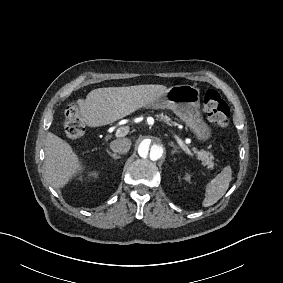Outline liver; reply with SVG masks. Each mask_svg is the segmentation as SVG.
I'll return each instance as SVG.
<instances>
[{
    "label": "liver",
    "instance_id": "6515ba94",
    "mask_svg": "<svg viewBox=\"0 0 283 283\" xmlns=\"http://www.w3.org/2000/svg\"><path fill=\"white\" fill-rule=\"evenodd\" d=\"M168 89L167 86L153 84L94 89L86 99L79 98L74 102V115L81 126H106L152 105ZM44 165L46 178L56 189H64L86 169V164L72 145L52 132L47 133L45 140Z\"/></svg>",
    "mask_w": 283,
    "mask_h": 283
}]
</instances>
